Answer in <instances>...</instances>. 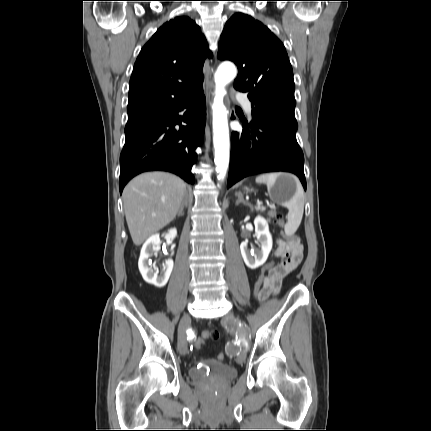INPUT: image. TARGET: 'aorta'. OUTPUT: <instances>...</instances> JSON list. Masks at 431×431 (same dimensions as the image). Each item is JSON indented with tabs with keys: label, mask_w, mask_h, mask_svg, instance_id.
Returning a JSON list of instances; mask_svg holds the SVG:
<instances>
[{
	"label": "aorta",
	"mask_w": 431,
	"mask_h": 431,
	"mask_svg": "<svg viewBox=\"0 0 431 431\" xmlns=\"http://www.w3.org/2000/svg\"><path fill=\"white\" fill-rule=\"evenodd\" d=\"M237 75L236 67L230 62H224L215 72V97L213 110V144L215 149V165L218 180H224L229 165L230 140L227 120V109L223 104L226 94L225 86Z\"/></svg>",
	"instance_id": "1"
}]
</instances>
